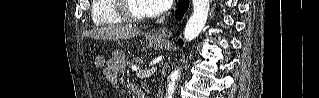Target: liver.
I'll use <instances>...</instances> for the list:
<instances>
[{"mask_svg": "<svg viewBox=\"0 0 319 98\" xmlns=\"http://www.w3.org/2000/svg\"><path fill=\"white\" fill-rule=\"evenodd\" d=\"M140 30L134 28H125L122 26H106L93 29L86 33V36L99 40H117L133 38L141 35Z\"/></svg>", "mask_w": 319, "mask_h": 98, "instance_id": "obj_1", "label": "liver"}]
</instances>
